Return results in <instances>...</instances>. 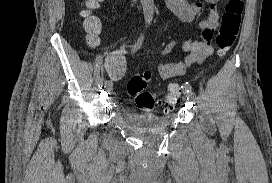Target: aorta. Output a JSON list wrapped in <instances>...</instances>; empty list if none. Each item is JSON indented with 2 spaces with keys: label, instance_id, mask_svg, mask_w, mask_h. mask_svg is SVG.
Instances as JSON below:
<instances>
[{
  "label": "aorta",
  "instance_id": "obj_1",
  "mask_svg": "<svg viewBox=\"0 0 272 183\" xmlns=\"http://www.w3.org/2000/svg\"><path fill=\"white\" fill-rule=\"evenodd\" d=\"M144 19L146 23H151L154 15V0H141Z\"/></svg>",
  "mask_w": 272,
  "mask_h": 183
}]
</instances>
